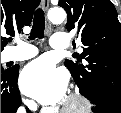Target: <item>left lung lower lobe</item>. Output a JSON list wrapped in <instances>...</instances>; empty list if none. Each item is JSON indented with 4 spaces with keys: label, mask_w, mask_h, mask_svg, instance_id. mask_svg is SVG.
Segmentation results:
<instances>
[{
    "label": "left lung lower lobe",
    "mask_w": 121,
    "mask_h": 113,
    "mask_svg": "<svg viewBox=\"0 0 121 113\" xmlns=\"http://www.w3.org/2000/svg\"><path fill=\"white\" fill-rule=\"evenodd\" d=\"M87 98L96 105L92 109L95 113H121V102L112 98L103 95H94Z\"/></svg>",
    "instance_id": "1"
}]
</instances>
